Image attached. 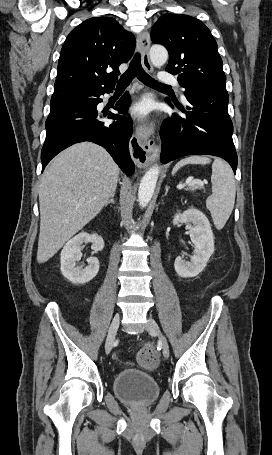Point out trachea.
<instances>
[{
	"label": "trachea",
	"mask_w": 272,
	"mask_h": 455,
	"mask_svg": "<svg viewBox=\"0 0 272 455\" xmlns=\"http://www.w3.org/2000/svg\"><path fill=\"white\" fill-rule=\"evenodd\" d=\"M140 54L136 53L130 63L128 70L121 76L117 87H127L133 78L137 77L141 82L149 87L169 88L170 86L154 80L141 66Z\"/></svg>",
	"instance_id": "trachea-1"
}]
</instances>
